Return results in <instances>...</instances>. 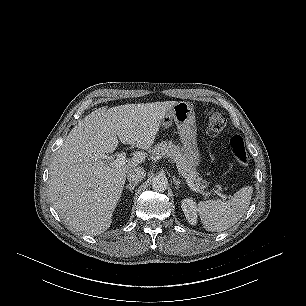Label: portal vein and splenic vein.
Masks as SVG:
<instances>
[{
    "label": "portal vein and splenic vein",
    "instance_id": "obj_1",
    "mask_svg": "<svg viewBox=\"0 0 306 306\" xmlns=\"http://www.w3.org/2000/svg\"><path fill=\"white\" fill-rule=\"evenodd\" d=\"M103 159H106L107 161H111L113 165L115 166H123L126 164L127 161V158H126V153H119L117 154V157L115 160H113L111 157L109 156H103L102 157ZM181 173V172H180ZM181 175L185 178L188 186L190 187L191 190H193L194 192H197V193H201L203 194V192L198 189L187 177H185L182 173ZM218 195L222 198V199H227L228 197L226 195H223L221 192H218Z\"/></svg>",
    "mask_w": 306,
    "mask_h": 306
}]
</instances>
